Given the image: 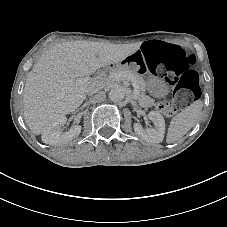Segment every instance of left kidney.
I'll list each match as a JSON object with an SVG mask.
<instances>
[{
  "instance_id": "obj_1",
  "label": "left kidney",
  "mask_w": 227,
  "mask_h": 227,
  "mask_svg": "<svg viewBox=\"0 0 227 227\" xmlns=\"http://www.w3.org/2000/svg\"><path fill=\"white\" fill-rule=\"evenodd\" d=\"M148 118L154 123V128L144 129L141 124L134 123L135 133L148 143H160L165 134V120L158 111H150Z\"/></svg>"
}]
</instances>
